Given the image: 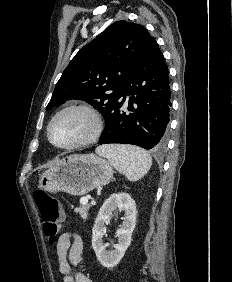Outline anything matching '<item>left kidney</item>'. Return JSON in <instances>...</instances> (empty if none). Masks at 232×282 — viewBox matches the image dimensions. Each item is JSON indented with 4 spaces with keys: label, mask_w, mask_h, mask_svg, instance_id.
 <instances>
[{
    "label": "left kidney",
    "mask_w": 232,
    "mask_h": 282,
    "mask_svg": "<svg viewBox=\"0 0 232 282\" xmlns=\"http://www.w3.org/2000/svg\"><path fill=\"white\" fill-rule=\"evenodd\" d=\"M124 211L123 222L117 230L118 244L113 251H106L102 237L105 224L115 209ZM136 204L128 193H113L101 206L92 229V247L99 262L106 268L116 266L131 243L132 232L136 225Z\"/></svg>",
    "instance_id": "5707ae66"
}]
</instances>
